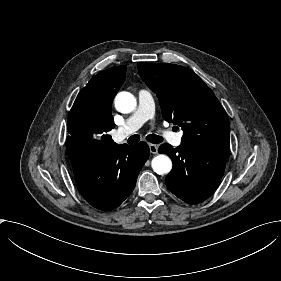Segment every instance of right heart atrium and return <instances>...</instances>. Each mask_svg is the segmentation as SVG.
Segmentation results:
<instances>
[{
  "label": "right heart atrium",
  "mask_w": 281,
  "mask_h": 281,
  "mask_svg": "<svg viewBox=\"0 0 281 281\" xmlns=\"http://www.w3.org/2000/svg\"><path fill=\"white\" fill-rule=\"evenodd\" d=\"M130 103V95L124 93V92H120L117 96H116V106H119L123 109H127Z\"/></svg>",
  "instance_id": "1"
}]
</instances>
